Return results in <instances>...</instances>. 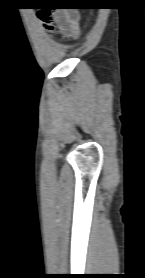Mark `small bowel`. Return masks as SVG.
Returning <instances> with one entry per match:
<instances>
[{"instance_id":"1","label":"small bowel","mask_w":145,"mask_h":278,"mask_svg":"<svg viewBox=\"0 0 145 278\" xmlns=\"http://www.w3.org/2000/svg\"><path fill=\"white\" fill-rule=\"evenodd\" d=\"M71 14L70 13H64V12H60L59 13V21L60 22H63L64 19L68 16H70ZM62 33L63 35L65 36H72V37H77L78 36V33H79V29L78 27H76L75 29L73 30H62Z\"/></svg>"}]
</instances>
